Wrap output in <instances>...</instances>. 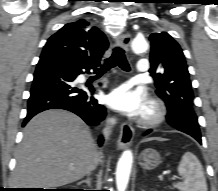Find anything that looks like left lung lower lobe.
<instances>
[{
  "label": "left lung lower lobe",
  "instance_id": "1",
  "mask_svg": "<svg viewBox=\"0 0 218 191\" xmlns=\"http://www.w3.org/2000/svg\"><path fill=\"white\" fill-rule=\"evenodd\" d=\"M184 113H181V118L176 120L175 122H170L168 120V122L170 123V125H172L174 128H176L179 131L185 132L189 135H191L192 137H194L199 143H201V135L200 132L197 131H190V130H186L185 126L183 125L186 121L191 120V116L193 115L188 108L184 109ZM148 132H151V130H149Z\"/></svg>",
  "mask_w": 218,
  "mask_h": 191
}]
</instances>
